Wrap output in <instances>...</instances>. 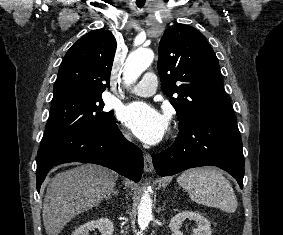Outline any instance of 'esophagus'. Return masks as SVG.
Returning a JSON list of instances; mask_svg holds the SVG:
<instances>
[{"label":"esophagus","instance_id":"esophagus-1","mask_svg":"<svg viewBox=\"0 0 283 235\" xmlns=\"http://www.w3.org/2000/svg\"><path fill=\"white\" fill-rule=\"evenodd\" d=\"M144 170L146 172H152L154 170L152 156L149 153L144 155Z\"/></svg>","mask_w":283,"mask_h":235}]
</instances>
